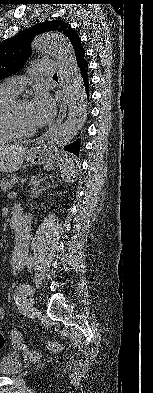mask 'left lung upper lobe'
Returning <instances> with one entry per match:
<instances>
[{"label": "left lung upper lobe", "instance_id": "5c2ea615", "mask_svg": "<svg viewBox=\"0 0 153 393\" xmlns=\"http://www.w3.org/2000/svg\"><path fill=\"white\" fill-rule=\"evenodd\" d=\"M47 31L60 32L65 35L72 43L75 55L85 52L79 35L67 22L52 20L38 23L0 43V80L16 73L23 67L31 54V41L36 35Z\"/></svg>", "mask_w": 153, "mask_h": 393}]
</instances>
